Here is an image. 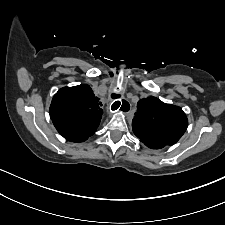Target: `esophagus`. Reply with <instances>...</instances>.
Here are the masks:
<instances>
[{"instance_id": "obj_1", "label": "esophagus", "mask_w": 225, "mask_h": 225, "mask_svg": "<svg viewBox=\"0 0 225 225\" xmlns=\"http://www.w3.org/2000/svg\"><path fill=\"white\" fill-rule=\"evenodd\" d=\"M116 101H117V100H116ZM116 101H113V102L110 104V111H118V110H120L121 112H123V113H125V114H127V113L130 112V110H131V104H130L128 101H126V100H125V101L130 105V108H129V109H128V108H125L124 110H122V108H121L122 103H121L118 109L113 110V108H114L115 105H116V104H115Z\"/></svg>"}]
</instances>
